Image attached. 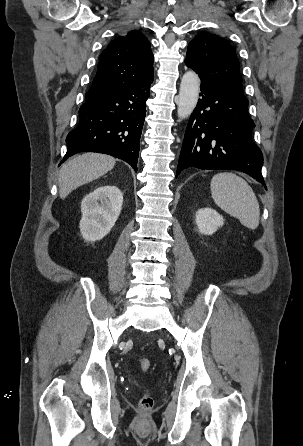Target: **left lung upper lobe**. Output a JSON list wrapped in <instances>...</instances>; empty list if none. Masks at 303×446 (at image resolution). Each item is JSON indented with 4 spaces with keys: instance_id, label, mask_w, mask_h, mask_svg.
I'll return each mask as SVG.
<instances>
[{
    "instance_id": "1",
    "label": "left lung upper lobe",
    "mask_w": 303,
    "mask_h": 446,
    "mask_svg": "<svg viewBox=\"0 0 303 446\" xmlns=\"http://www.w3.org/2000/svg\"><path fill=\"white\" fill-rule=\"evenodd\" d=\"M185 63L200 77H207L244 96L236 50L225 39L203 32L188 45Z\"/></svg>"
}]
</instances>
